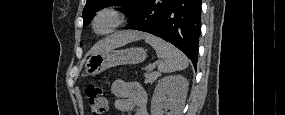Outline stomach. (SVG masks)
<instances>
[{
  "instance_id": "0dacf381",
  "label": "stomach",
  "mask_w": 285,
  "mask_h": 115,
  "mask_svg": "<svg viewBox=\"0 0 285 115\" xmlns=\"http://www.w3.org/2000/svg\"><path fill=\"white\" fill-rule=\"evenodd\" d=\"M146 57V50L139 47L94 53L86 60L85 72L95 76L114 66L138 64L143 62Z\"/></svg>"
}]
</instances>
